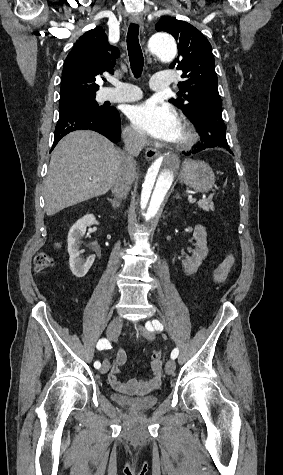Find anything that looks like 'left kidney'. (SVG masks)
<instances>
[{
    "label": "left kidney",
    "mask_w": 283,
    "mask_h": 475,
    "mask_svg": "<svg viewBox=\"0 0 283 475\" xmlns=\"http://www.w3.org/2000/svg\"><path fill=\"white\" fill-rule=\"evenodd\" d=\"M193 238L196 239V245L195 249H193L192 251V255H190V257H185V259H182V265L187 275H191V273H195V271H197L199 265H201L202 263V259H205L208 253L206 239L207 232L204 226H195Z\"/></svg>",
    "instance_id": "obj_1"
}]
</instances>
